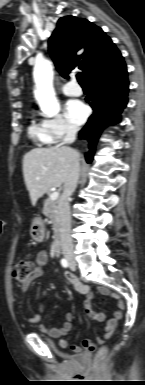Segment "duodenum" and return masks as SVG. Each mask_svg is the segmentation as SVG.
I'll return each instance as SVG.
<instances>
[{"label":"duodenum","instance_id":"1","mask_svg":"<svg viewBox=\"0 0 145 385\" xmlns=\"http://www.w3.org/2000/svg\"><path fill=\"white\" fill-rule=\"evenodd\" d=\"M53 253L55 256L60 255V253H61V241H60V239H56V241L54 242Z\"/></svg>","mask_w":145,"mask_h":385}]
</instances>
